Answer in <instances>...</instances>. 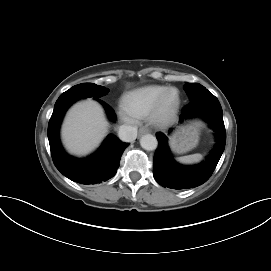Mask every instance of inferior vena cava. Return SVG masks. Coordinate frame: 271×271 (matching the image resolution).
Segmentation results:
<instances>
[{"instance_id":"inferior-vena-cava-1","label":"inferior vena cava","mask_w":271,"mask_h":271,"mask_svg":"<svg viewBox=\"0 0 271 271\" xmlns=\"http://www.w3.org/2000/svg\"><path fill=\"white\" fill-rule=\"evenodd\" d=\"M118 136L124 142H132L137 137V128L131 125H121Z\"/></svg>"}]
</instances>
